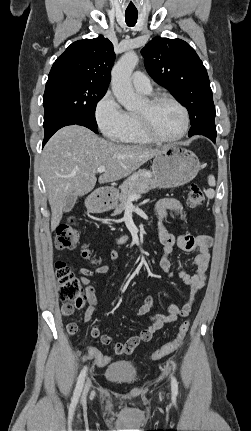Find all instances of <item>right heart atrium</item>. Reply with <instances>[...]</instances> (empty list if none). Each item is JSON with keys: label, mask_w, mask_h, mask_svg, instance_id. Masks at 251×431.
Listing matches in <instances>:
<instances>
[{"label": "right heart atrium", "mask_w": 251, "mask_h": 431, "mask_svg": "<svg viewBox=\"0 0 251 431\" xmlns=\"http://www.w3.org/2000/svg\"><path fill=\"white\" fill-rule=\"evenodd\" d=\"M94 116L99 129L110 139H118L127 129L128 113L110 91L98 100Z\"/></svg>", "instance_id": "d8ad5b80"}]
</instances>
